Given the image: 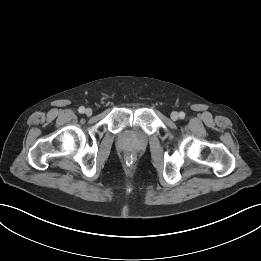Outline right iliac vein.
I'll list each match as a JSON object with an SVG mask.
<instances>
[{"instance_id": "63e3f726", "label": "right iliac vein", "mask_w": 261, "mask_h": 261, "mask_svg": "<svg viewBox=\"0 0 261 261\" xmlns=\"http://www.w3.org/2000/svg\"><path fill=\"white\" fill-rule=\"evenodd\" d=\"M85 114H86L87 116H90V115L92 114V110H91L90 108H87V109L85 110Z\"/></svg>"}]
</instances>
